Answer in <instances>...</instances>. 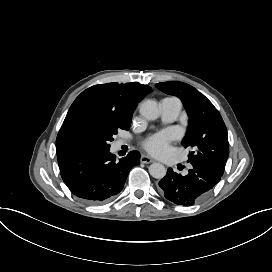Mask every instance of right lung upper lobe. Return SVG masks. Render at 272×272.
Instances as JSON below:
<instances>
[{
	"label": "right lung upper lobe",
	"instance_id": "cb5924a9",
	"mask_svg": "<svg viewBox=\"0 0 272 272\" xmlns=\"http://www.w3.org/2000/svg\"><path fill=\"white\" fill-rule=\"evenodd\" d=\"M152 92L148 85L132 82L94 85L83 91L71 105L56 139L57 155L69 151L70 138L84 118L111 122L129 130L138 102Z\"/></svg>",
	"mask_w": 272,
	"mask_h": 272
}]
</instances>
